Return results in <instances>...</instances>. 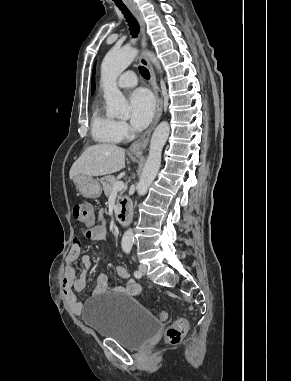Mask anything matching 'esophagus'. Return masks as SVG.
Instances as JSON below:
<instances>
[{"label": "esophagus", "instance_id": "esophagus-1", "mask_svg": "<svg viewBox=\"0 0 291 381\" xmlns=\"http://www.w3.org/2000/svg\"><path fill=\"white\" fill-rule=\"evenodd\" d=\"M127 6L130 9V11L132 12V14L135 16V18L137 19V21L141 27V32H142L141 47H142L143 52H142V55L140 58V62L143 66H145L149 70L150 77H151V80H150L151 85H152V88H153V90L157 96L156 113H155L154 119H153L150 127L142 134V136L139 139L134 141L129 148L131 153H133L135 155H142L143 151L145 150V148L147 147V145L149 143V139H150V136H151L154 128L156 127L157 123L160 120V117L162 114V99H161L160 94H159V88L157 85L155 72L153 70V67H152L150 61L148 60L147 56L145 55V51L147 49L148 44H147V39H146V34H145V22H144L143 16L134 3L129 2V3H127Z\"/></svg>", "mask_w": 291, "mask_h": 381}]
</instances>
